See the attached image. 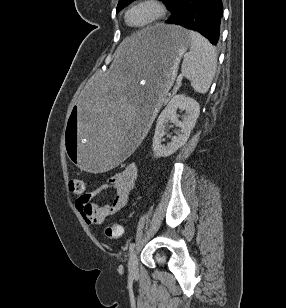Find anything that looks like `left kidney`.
Here are the masks:
<instances>
[{
	"mask_svg": "<svg viewBox=\"0 0 286 308\" xmlns=\"http://www.w3.org/2000/svg\"><path fill=\"white\" fill-rule=\"evenodd\" d=\"M177 109L186 111L187 116L182 122L178 120ZM199 114L200 105L196 100L184 95L173 96L157 119L152 145L155 156L168 157L182 147L187 142ZM169 121L179 127L180 132L177 136L172 137L171 142L164 145L162 142L164 141L166 125Z\"/></svg>",
	"mask_w": 286,
	"mask_h": 308,
	"instance_id": "left-kidney-1",
	"label": "left kidney"
}]
</instances>
